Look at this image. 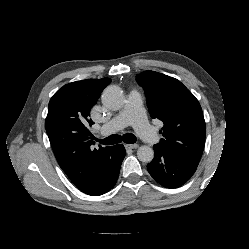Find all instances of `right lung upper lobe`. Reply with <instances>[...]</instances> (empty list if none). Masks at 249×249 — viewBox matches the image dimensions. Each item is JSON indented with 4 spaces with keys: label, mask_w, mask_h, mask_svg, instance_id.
I'll return each mask as SVG.
<instances>
[{
    "label": "right lung upper lobe",
    "mask_w": 249,
    "mask_h": 249,
    "mask_svg": "<svg viewBox=\"0 0 249 249\" xmlns=\"http://www.w3.org/2000/svg\"><path fill=\"white\" fill-rule=\"evenodd\" d=\"M111 79L82 80L64 85L51 98L45 120L56 159L70 180L84 191L112 160V146L94 149L87 125L90 110Z\"/></svg>",
    "instance_id": "right-lung-upper-lobe-1"
}]
</instances>
